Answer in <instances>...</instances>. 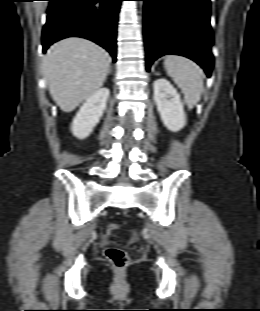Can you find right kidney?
I'll return each instance as SVG.
<instances>
[{
	"label": "right kidney",
	"mask_w": 260,
	"mask_h": 311,
	"mask_svg": "<svg viewBox=\"0 0 260 311\" xmlns=\"http://www.w3.org/2000/svg\"><path fill=\"white\" fill-rule=\"evenodd\" d=\"M109 94L108 88H100L85 101L71 125L75 137L84 139L91 134L106 109Z\"/></svg>",
	"instance_id": "1"
}]
</instances>
